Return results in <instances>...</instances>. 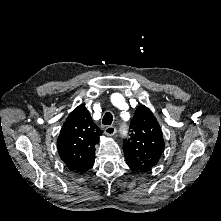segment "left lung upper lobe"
Segmentation results:
<instances>
[{"instance_id": "left-lung-upper-lobe-1", "label": "left lung upper lobe", "mask_w": 221, "mask_h": 221, "mask_svg": "<svg viewBox=\"0 0 221 221\" xmlns=\"http://www.w3.org/2000/svg\"><path fill=\"white\" fill-rule=\"evenodd\" d=\"M130 128L131 138L123 142L125 158L134 162L140 172L148 171L157 164L165 148L160 125L153 113L140 105Z\"/></svg>"}]
</instances>
